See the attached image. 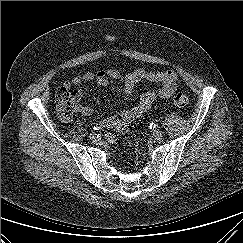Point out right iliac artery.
<instances>
[{"label":"right iliac artery","mask_w":243,"mask_h":243,"mask_svg":"<svg viewBox=\"0 0 243 243\" xmlns=\"http://www.w3.org/2000/svg\"><path fill=\"white\" fill-rule=\"evenodd\" d=\"M103 125L102 124H97V125H95L94 127H93V129L94 130H101V129H103Z\"/></svg>","instance_id":"right-iliac-artery-1"}]
</instances>
